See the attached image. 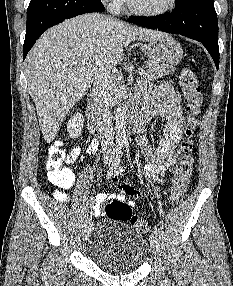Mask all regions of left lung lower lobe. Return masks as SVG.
<instances>
[{
  "label": "left lung lower lobe",
  "instance_id": "left-lung-lower-lobe-1",
  "mask_svg": "<svg viewBox=\"0 0 233 286\" xmlns=\"http://www.w3.org/2000/svg\"><path fill=\"white\" fill-rule=\"evenodd\" d=\"M170 14L134 16L130 22L202 42L219 67L218 20L213 0H175Z\"/></svg>",
  "mask_w": 233,
  "mask_h": 286
}]
</instances>
